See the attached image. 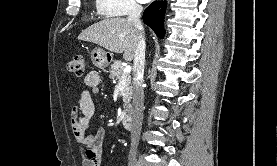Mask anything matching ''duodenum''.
<instances>
[{"instance_id": "duodenum-1", "label": "duodenum", "mask_w": 277, "mask_h": 166, "mask_svg": "<svg viewBox=\"0 0 277 166\" xmlns=\"http://www.w3.org/2000/svg\"><path fill=\"white\" fill-rule=\"evenodd\" d=\"M122 125L124 129L131 130L133 128V117L130 113H127L122 119Z\"/></svg>"}]
</instances>
